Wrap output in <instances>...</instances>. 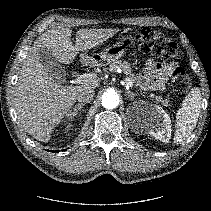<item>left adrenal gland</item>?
Masks as SVG:
<instances>
[{
	"label": "left adrenal gland",
	"mask_w": 211,
	"mask_h": 211,
	"mask_svg": "<svg viewBox=\"0 0 211 211\" xmlns=\"http://www.w3.org/2000/svg\"><path fill=\"white\" fill-rule=\"evenodd\" d=\"M126 95H128V97L130 98L131 101L134 100V97L139 95V93H133L131 91H126Z\"/></svg>",
	"instance_id": "a2214340"
}]
</instances>
